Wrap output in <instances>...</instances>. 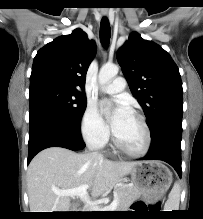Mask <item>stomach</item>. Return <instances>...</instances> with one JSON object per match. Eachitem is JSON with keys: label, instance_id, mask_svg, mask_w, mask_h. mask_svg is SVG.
Listing matches in <instances>:
<instances>
[{"label": "stomach", "instance_id": "0dacf381", "mask_svg": "<svg viewBox=\"0 0 203 219\" xmlns=\"http://www.w3.org/2000/svg\"><path fill=\"white\" fill-rule=\"evenodd\" d=\"M130 175L139 196L150 202L159 200L172 183V173L159 161L137 162Z\"/></svg>", "mask_w": 203, "mask_h": 219}]
</instances>
